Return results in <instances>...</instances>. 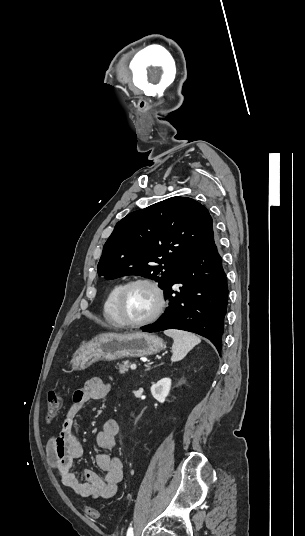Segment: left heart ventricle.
<instances>
[{
  "instance_id": "obj_1",
  "label": "left heart ventricle",
  "mask_w": 305,
  "mask_h": 536,
  "mask_svg": "<svg viewBox=\"0 0 305 536\" xmlns=\"http://www.w3.org/2000/svg\"><path fill=\"white\" fill-rule=\"evenodd\" d=\"M157 306V296L147 285L131 286L123 299V313L127 321H140L150 315Z\"/></svg>"
}]
</instances>
